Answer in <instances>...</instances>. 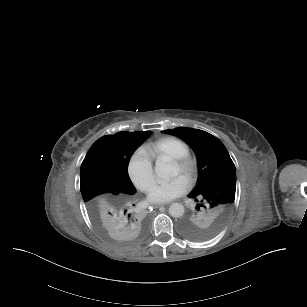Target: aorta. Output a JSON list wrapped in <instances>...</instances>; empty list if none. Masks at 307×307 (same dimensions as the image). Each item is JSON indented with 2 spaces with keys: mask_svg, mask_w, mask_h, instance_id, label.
Wrapping results in <instances>:
<instances>
[{
  "mask_svg": "<svg viewBox=\"0 0 307 307\" xmlns=\"http://www.w3.org/2000/svg\"><path fill=\"white\" fill-rule=\"evenodd\" d=\"M154 172L162 180H171L178 175L179 169L164 159H158L155 163ZM184 206L180 203H172L169 214L174 218H180L184 214Z\"/></svg>",
  "mask_w": 307,
  "mask_h": 307,
  "instance_id": "aorta-1",
  "label": "aorta"
}]
</instances>
